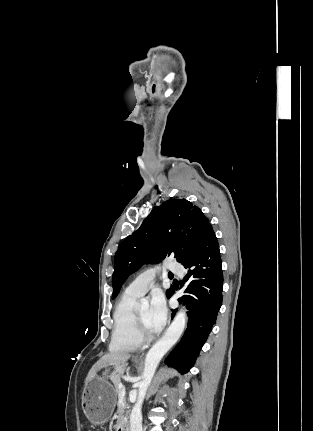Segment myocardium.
I'll list each match as a JSON object with an SVG mask.
<instances>
[{"instance_id": "1", "label": "myocardium", "mask_w": 313, "mask_h": 431, "mask_svg": "<svg viewBox=\"0 0 313 431\" xmlns=\"http://www.w3.org/2000/svg\"><path fill=\"white\" fill-rule=\"evenodd\" d=\"M135 335L136 338L140 341V343L149 342L155 338L154 333H148L143 325L141 316L138 310H135Z\"/></svg>"}]
</instances>
